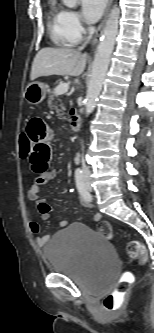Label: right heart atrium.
<instances>
[{
    "instance_id": "d8ad5b80",
    "label": "right heart atrium",
    "mask_w": 154,
    "mask_h": 333,
    "mask_svg": "<svg viewBox=\"0 0 154 333\" xmlns=\"http://www.w3.org/2000/svg\"><path fill=\"white\" fill-rule=\"evenodd\" d=\"M64 24L69 39L74 43L79 42L87 32L86 26L76 11H65Z\"/></svg>"
}]
</instances>
